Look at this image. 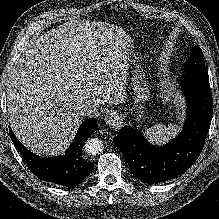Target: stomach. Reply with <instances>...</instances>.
I'll return each mask as SVG.
<instances>
[{
  "mask_svg": "<svg viewBox=\"0 0 219 219\" xmlns=\"http://www.w3.org/2000/svg\"><path fill=\"white\" fill-rule=\"evenodd\" d=\"M130 61L134 65L133 85L135 92L134 100L136 103L134 107V112H132V117L135 121L142 124L145 121L144 108L145 102L148 100L149 89L145 85V73L143 70H140L141 66L138 63L137 57L135 55H132Z\"/></svg>",
  "mask_w": 219,
  "mask_h": 219,
  "instance_id": "0dacf381",
  "label": "stomach"
}]
</instances>
